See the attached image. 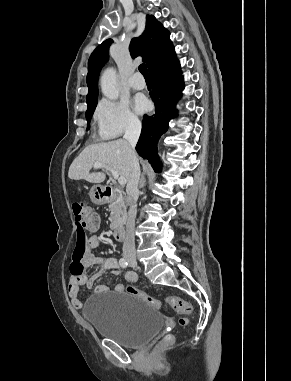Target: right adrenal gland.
<instances>
[{
  "label": "right adrenal gland",
  "mask_w": 291,
  "mask_h": 381,
  "mask_svg": "<svg viewBox=\"0 0 291 381\" xmlns=\"http://www.w3.org/2000/svg\"><path fill=\"white\" fill-rule=\"evenodd\" d=\"M145 185V177L144 174L141 175L140 182H139V188L144 187Z\"/></svg>",
  "instance_id": "1"
}]
</instances>
